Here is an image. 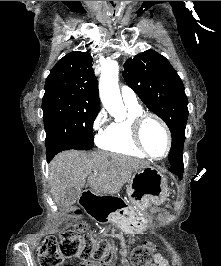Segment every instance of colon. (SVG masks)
I'll list each match as a JSON object with an SVG mask.
<instances>
[{
	"label": "colon",
	"mask_w": 221,
	"mask_h": 266,
	"mask_svg": "<svg viewBox=\"0 0 221 266\" xmlns=\"http://www.w3.org/2000/svg\"><path fill=\"white\" fill-rule=\"evenodd\" d=\"M86 230V224L79 223L76 229L62 233L59 238H45L38 251L40 266H63L66 258L110 264L113 259L110 240H96ZM154 249L153 241L136 247L130 255L131 265L150 266Z\"/></svg>",
	"instance_id": "1"
}]
</instances>
